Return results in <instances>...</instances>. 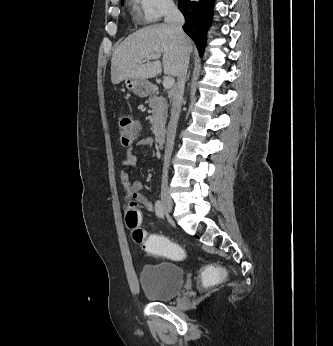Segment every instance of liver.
<instances>
[{
  "mask_svg": "<svg viewBox=\"0 0 333 346\" xmlns=\"http://www.w3.org/2000/svg\"><path fill=\"white\" fill-rule=\"evenodd\" d=\"M185 49L192 53L193 45L185 35L184 43L167 24L142 28L129 35L113 52L111 59V81L119 84L127 78L147 80L161 73V62L147 57L163 55L164 74L177 76L181 54Z\"/></svg>",
  "mask_w": 333,
  "mask_h": 346,
  "instance_id": "obj_1",
  "label": "liver"
}]
</instances>
